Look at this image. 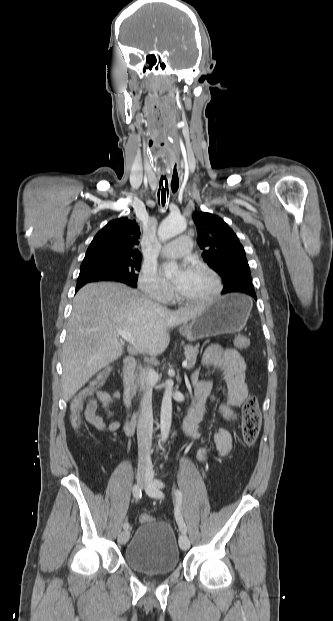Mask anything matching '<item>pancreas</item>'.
<instances>
[{
  "label": "pancreas",
  "mask_w": 333,
  "mask_h": 621,
  "mask_svg": "<svg viewBox=\"0 0 333 621\" xmlns=\"http://www.w3.org/2000/svg\"><path fill=\"white\" fill-rule=\"evenodd\" d=\"M184 349H185V357L188 362L187 368L192 369L196 363L197 355L199 352V345H196V346L186 345ZM145 375H146L145 371H141L139 374L133 375V379H136L137 385H140L141 388L144 387ZM137 385H135V388L137 387Z\"/></svg>",
  "instance_id": "cf45deb5"
}]
</instances>
